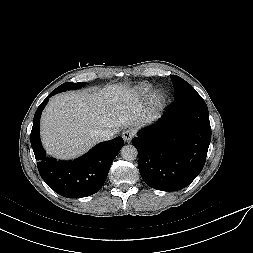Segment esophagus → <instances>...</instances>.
I'll return each mask as SVG.
<instances>
[{"label":"esophagus","mask_w":253,"mask_h":253,"mask_svg":"<svg viewBox=\"0 0 253 253\" xmlns=\"http://www.w3.org/2000/svg\"><path fill=\"white\" fill-rule=\"evenodd\" d=\"M135 136V133L133 130L131 129H127L125 130L123 133H122V137H123V140L126 142V143H130L131 140L134 138Z\"/></svg>","instance_id":"1"}]
</instances>
